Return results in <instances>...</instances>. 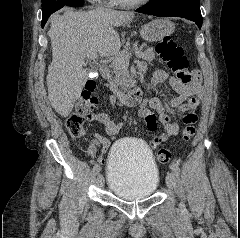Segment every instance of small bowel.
<instances>
[{"instance_id":"obj_1","label":"small bowel","mask_w":240,"mask_h":238,"mask_svg":"<svg viewBox=\"0 0 240 238\" xmlns=\"http://www.w3.org/2000/svg\"><path fill=\"white\" fill-rule=\"evenodd\" d=\"M142 72H145L146 66L143 63L139 64ZM195 78L190 84H183L175 77L170 76L162 69H156L152 77L151 90H154L160 83L168 81L172 88L178 93V96L171 98L168 105L179 113H185L183 122L187 124H195L197 121L196 110L199 106V98L202 95L201 76L198 71H193ZM105 99L113 106H117V100L114 96H105ZM139 117L144 121L147 129L150 132H156L159 128L161 134L154 137L150 141L152 149L157 148L160 144L171 137H174L179 132L177 123L172 122L168 115L165 106L157 97L142 99L139 103ZM89 120L101 123L105 126L108 138L96 136L97 141L102 145L101 153L98 155V166H105V155L109 150V140L117 138L122 123L116 119H111L106 113H92Z\"/></svg>"}]
</instances>
